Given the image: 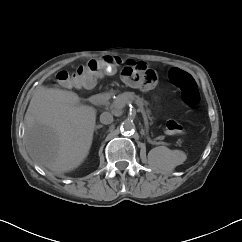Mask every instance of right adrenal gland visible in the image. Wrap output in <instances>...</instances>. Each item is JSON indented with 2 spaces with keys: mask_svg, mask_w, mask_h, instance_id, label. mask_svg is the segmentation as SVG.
Returning a JSON list of instances; mask_svg holds the SVG:
<instances>
[{
  "mask_svg": "<svg viewBox=\"0 0 242 242\" xmlns=\"http://www.w3.org/2000/svg\"><path fill=\"white\" fill-rule=\"evenodd\" d=\"M100 128H103V125H96L95 126V129H100Z\"/></svg>",
  "mask_w": 242,
  "mask_h": 242,
  "instance_id": "2a0ac1e0",
  "label": "right adrenal gland"
}]
</instances>
